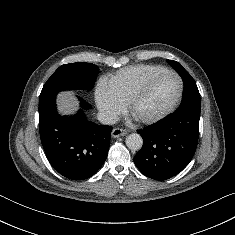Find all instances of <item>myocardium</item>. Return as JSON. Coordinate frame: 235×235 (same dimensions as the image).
I'll list each match as a JSON object with an SVG mask.
<instances>
[{"label":"myocardium","mask_w":235,"mask_h":235,"mask_svg":"<svg viewBox=\"0 0 235 235\" xmlns=\"http://www.w3.org/2000/svg\"><path fill=\"white\" fill-rule=\"evenodd\" d=\"M164 76H173L177 79L179 83V90L174 101L171 103V105L167 109H165L163 112H161L160 114L154 117H150V118L134 117L133 111L135 107L144 98L151 84L158 78L164 77ZM183 92H184V83H183L182 78L177 73L173 71L165 70V71L153 74L143 83V85L138 89V91L130 98V100L126 104V114L134 123L138 125H152V124L158 123L175 111V109L178 107L179 103L181 102Z\"/></svg>","instance_id":"obj_1"}]
</instances>
